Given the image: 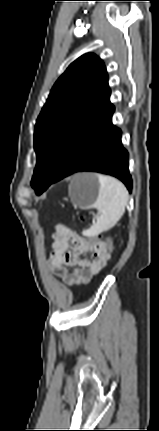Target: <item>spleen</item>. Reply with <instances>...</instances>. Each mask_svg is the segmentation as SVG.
<instances>
[{
	"label": "spleen",
	"mask_w": 159,
	"mask_h": 431,
	"mask_svg": "<svg viewBox=\"0 0 159 431\" xmlns=\"http://www.w3.org/2000/svg\"><path fill=\"white\" fill-rule=\"evenodd\" d=\"M100 189L97 201L93 205L97 209L95 222L85 232L95 236L110 230L120 220L125 212L129 194L126 187L119 180L97 174Z\"/></svg>",
	"instance_id": "1"
}]
</instances>
